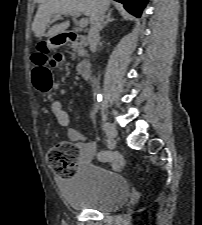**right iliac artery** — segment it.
Segmentation results:
<instances>
[{"label":"right iliac artery","instance_id":"right-iliac-artery-1","mask_svg":"<svg viewBox=\"0 0 202 225\" xmlns=\"http://www.w3.org/2000/svg\"><path fill=\"white\" fill-rule=\"evenodd\" d=\"M98 101H100V99H98ZM106 144L108 145L109 148L114 147V144L109 139L106 140Z\"/></svg>","mask_w":202,"mask_h":225}]
</instances>
